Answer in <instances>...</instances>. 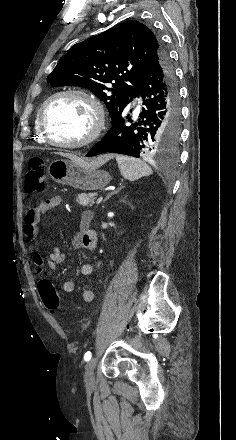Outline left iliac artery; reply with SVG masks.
Wrapping results in <instances>:
<instances>
[{
  "instance_id": "left-iliac-artery-1",
  "label": "left iliac artery",
  "mask_w": 236,
  "mask_h": 440,
  "mask_svg": "<svg viewBox=\"0 0 236 440\" xmlns=\"http://www.w3.org/2000/svg\"><path fill=\"white\" fill-rule=\"evenodd\" d=\"M91 356H92V354H91L90 351L86 352L85 355H84V360L86 362L89 361L91 359Z\"/></svg>"
}]
</instances>
